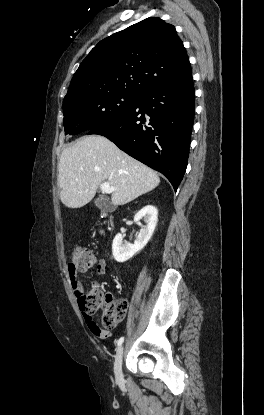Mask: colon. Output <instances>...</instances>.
Masks as SVG:
<instances>
[{
    "label": "colon",
    "instance_id": "colon-1",
    "mask_svg": "<svg viewBox=\"0 0 264 415\" xmlns=\"http://www.w3.org/2000/svg\"><path fill=\"white\" fill-rule=\"evenodd\" d=\"M94 262V255L89 249H76L68 264L69 272L74 274L81 268H90ZM127 305L126 300L116 299L113 295L103 291L97 284H92L88 292L79 298L80 310L86 315L89 326L95 330L100 328L92 319V315L97 310H103L102 322L105 328H109L115 322L124 319Z\"/></svg>",
    "mask_w": 264,
    "mask_h": 415
}]
</instances>
